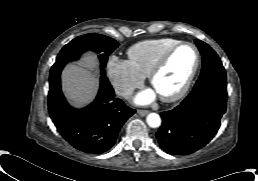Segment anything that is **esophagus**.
<instances>
[{
	"label": "esophagus",
	"instance_id": "1",
	"mask_svg": "<svg viewBox=\"0 0 258 181\" xmlns=\"http://www.w3.org/2000/svg\"><path fill=\"white\" fill-rule=\"evenodd\" d=\"M137 113L141 116H145L149 113V111L148 110H138Z\"/></svg>",
	"mask_w": 258,
	"mask_h": 181
}]
</instances>
